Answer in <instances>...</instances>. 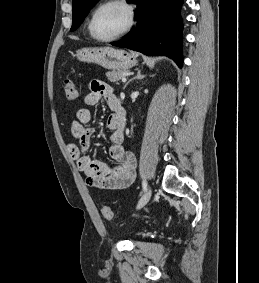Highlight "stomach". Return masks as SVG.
<instances>
[{
	"label": "stomach",
	"mask_w": 259,
	"mask_h": 283,
	"mask_svg": "<svg viewBox=\"0 0 259 283\" xmlns=\"http://www.w3.org/2000/svg\"><path fill=\"white\" fill-rule=\"evenodd\" d=\"M76 56L80 61L95 63L112 70H127L137 63L133 54L112 47L82 48L77 51Z\"/></svg>",
	"instance_id": "stomach-1"
}]
</instances>
